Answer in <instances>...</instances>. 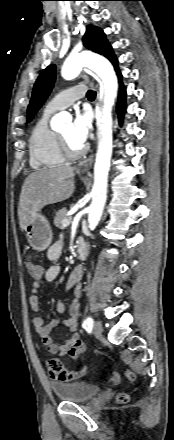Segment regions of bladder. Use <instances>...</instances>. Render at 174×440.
Returning <instances> with one entry per match:
<instances>
[{"label": "bladder", "mask_w": 174, "mask_h": 440, "mask_svg": "<svg viewBox=\"0 0 174 440\" xmlns=\"http://www.w3.org/2000/svg\"><path fill=\"white\" fill-rule=\"evenodd\" d=\"M51 388L59 400L87 402L100 392L98 385L89 382H55Z\"/></svg>", "instance_id": "bladder-1"}]
</instances>
